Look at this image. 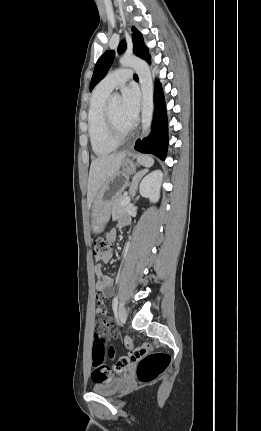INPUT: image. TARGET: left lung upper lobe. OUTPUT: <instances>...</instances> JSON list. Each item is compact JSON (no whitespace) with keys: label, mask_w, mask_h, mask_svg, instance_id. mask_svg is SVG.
<instances>
[{"label":"left lung upper lobe","mask_w":261,"mask_h":431,"mask_svg":"<svg viewBox=\"0 0 261 431\" xmlns=\"http://www.w3.org/2000/svg\"><path fill=\"white\" fill-rule=\"evenodd\" d=\"M132 40H133V49L134 53L142 59H147L149 57L148 49L144 44L142 34L135 28L132 27ZM126 49L125 41H122L118 47V52L123 53ZM115 53L114 51H106L97 61L93 76L90 82V91L94 88V86L102 80L108 70L111 67L113 62Z\"/></svg>","instance_id":"left-lung-upper-lobe-1"}]
</instances>
